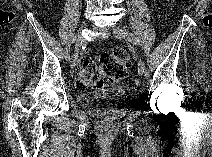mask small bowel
<instances>
[{"label":"small bowel","instance_id":"c3829d8e","mask_svg":"<svg viewBox=\"0 0 212 157\" xmlns=\"http://www.w3.org/2000/svg\"><path fill=\"white\" fill-rule=\"evenodd\" d=\"M88 58H86V57H84V58H82L81 59V62H80V69L88 62ZM79 74H80V72H79ZM78 77H79V75H78Z\"/></svg>","mask_w":212,"mask_h":157}]
</instances>
